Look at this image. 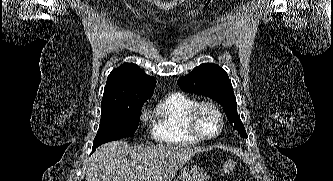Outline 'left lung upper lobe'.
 <instances>
[{
    "instance_id": "1",
    "label": "left lung upper lobe",
    "mask_w": 333,
    "mask_h": 181,
    "mask_svg": "<svg viewBox=\"0 0 333 181\" xmlns=\"http://www.w3.org/2000/svg\"><path fill=\"white\" fill-rule=\"evenodd\" d=\"M178 85L185 92L207 96L222 105L228 120L234 123V129L241 137L247 138L244 125L237 114V103L231 81L221 67L212 63L201 64L180 78Z\"/></svg>"
}]
</instances>
